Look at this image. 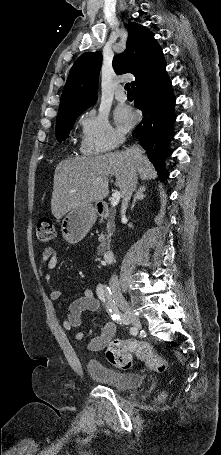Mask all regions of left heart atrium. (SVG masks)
Here are the masks:
<instances>
[{
  "mask_svg": "<svg viewBox=\"0 0 221 455\" xmlns=\"http://www.w3.org/2000/svg\"><path fill=\"white\" fill-rule=\"evenodd\" d=\"M115 120L119 127L129 128L134 122V115L130 109L121 107L115 112Z\"/></svg>",
  "mask_w": 221,
  "mask_h": 455,
  "instance_id": "1",
  "label": "left heart atrium"
}]
</instances>
